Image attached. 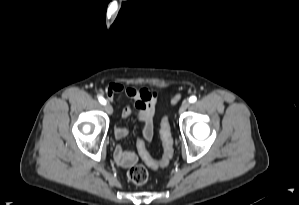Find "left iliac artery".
<instances>
[{
	"label": "left iliac artery",
	"instance_id": "1",
	"mask_svg": "<svg viewBox=\"0 0 299 205\" xmlns=\"http://www.w3.org/2000/svg\"><path fill=\"white\" fill-rule=\"evenodd\" d=\"M196 100H197L196 96H191V97L189 98V102H190V103H194V102H196Z\"/></svg>",
	"mask_w": 299,
	"mask_h": 205
}]
</instances>
